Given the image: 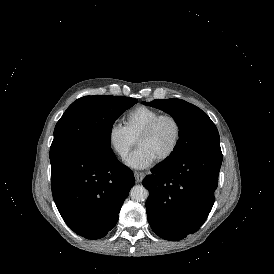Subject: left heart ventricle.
<instances>
[{
  "mask_svg": "<svg viewBox=\"0 0 274 274\" xmlns=\"http://www.w3.org/2000/svg\"><path fill=\"white\" fill-rule=\"evenodd\" d=\"M174 137L175 126L172 121L166 119L161 121L149 136L139 139L136 145L144 148L155 162L170 150Z\"/></svg>",
  "mask_w": 274,
  "mask_h": 274,
  "instance_id": "obj_1",
  "label": "left heart ventricle"
}]
</instances>
